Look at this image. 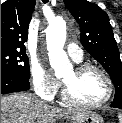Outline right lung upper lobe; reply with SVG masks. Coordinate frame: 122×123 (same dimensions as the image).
Here are the masks:
<instances>
[{
    "instance_id": "obj_1",
    "label": "right lung upper lobe",
    "mask_w": 122,
    "mask_h": 123,
    "mask_svg": "<svg viewBox=\"0 0 122 123\" xmlns=\"http://www.w3.org/2000/svg\"><path fill=\"white\" fill-rule=\"evenodd\" d=\"M35 0H7L1 4V50L24 51Z\"/></svg>"
}]
</instances>
